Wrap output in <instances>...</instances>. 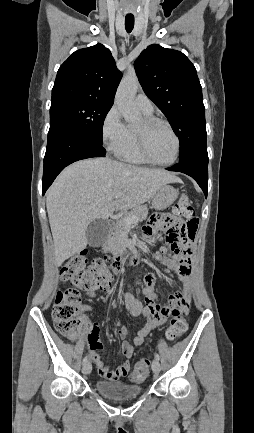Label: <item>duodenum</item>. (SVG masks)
Listing matches in <instances>:
<instances>
[{"label": "duodenum", "mask_w": 254, "mask_h": 433, "mask_svg": "<svg viewBox=\"0 0 254 433\" xmlns=\"http://www.w3.org/2000/svg\"><path fill=\"white\" fill-rule=\"evenodd\" d=\"M110 225V223H108ZM128 264V255L124 252H120L116 254L114 261L112 262L113 269L116 271H120L124 269Z\"/></svg>", "instance_id": "410a0bca"}]
</instances>
